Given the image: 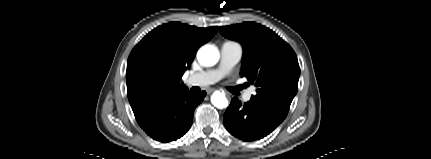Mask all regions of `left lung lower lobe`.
<instances>
[{"label": "left lung lower lobe", "mask_w": 431, "mask_h": 159, "mask_svg": "<svg viewBox=\"0 0 431 159\" xmlns=\"http://www.w3.org/2000/svg\"><path fill=\"white\" fill-rule=\"evenodd\" d=\"M274 103L250 99L244 105L234 97L224 113L225 128L243 141H254L270 134L288 114Z\"/></svg>", "instance_id": "0a47b994"}]
</instances>
